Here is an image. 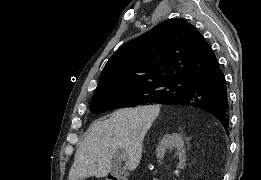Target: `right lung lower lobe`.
<instances>
[{
  "instance_id": "right-lung-lower-lobe-1",
  "label": "right lung lower lobe",
  "mask_w": 261,
  "mask_h": 180,
  "mask_svg": "<svg viewBox=\"0 0 261 180\" xmlns=\"http://www.w3.org/2000/svg\"><path fill=\"white\" fill-rule=\"evenodd\" d=\"M164 105H187L201 108L214 115L225 128L229 127V100L224 74L217 64L195 74L187 90Z\"/></svg>"
}]
</instances>
